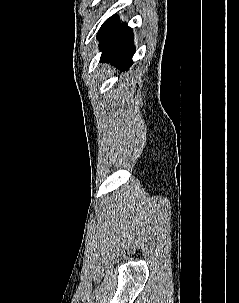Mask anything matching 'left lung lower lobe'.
<instances>
[{
  "mask_svg": "<svg viewBox=\"0 0 239 303\" xmlns=\"http://www.w3.org/2000/svg\"><path fill=\"white\" fill-rule=\"evenodd\" d=\"M97 38L103 51L101 61L111 60L123 70L133 64V33L126 24L119 23L117 16L108 18L101 26Z\"/></svg>",
  "mask_w": 239,
  "mask_h": 303,
  "instance_id": "obj_1",
  "label": "left lung lower lobe"
}]
</instances>
